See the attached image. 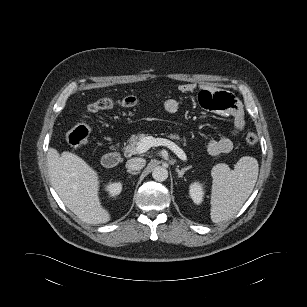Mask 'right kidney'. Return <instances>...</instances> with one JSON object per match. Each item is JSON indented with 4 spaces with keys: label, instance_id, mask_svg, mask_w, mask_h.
Returning <instances> with one entry per match:
<instances>
[{
    "label": "right kidney",
    "instance_id": "right-kidney-1",
    "mask_svg": "<svg viewBox=\"0 0 307 307\" xmlns=\"http://www.w3.org/2000/svg\"><path fill=\"white\" fill-rule=\"evenodd\" d=\"M106 190L109 192L110 196L115 197L120 194L122 190V184L120 182H114L107 185Z\"/></svg>",
    "mask_w": 307,
    "mask_h": 307
}]
</instances>
